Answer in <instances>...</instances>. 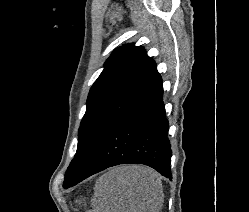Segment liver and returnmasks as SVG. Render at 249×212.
I'll return each instance as SVG.
<instances>
[{"label": "liver", "mask_w": 249, "mask_h": 212, "mask_svg": "<svg viewBox=\"0 0 249 212\" xmlns=\"http://www.w3.org/2000/svg\"><path fill=\"white\" fill-rule=\"evenodd\" d=\"M163 190L158 172L147 166H115L95 184L90 212H160Z\"/></svg>", "instance_id": "liver-1"}]
</instances>
